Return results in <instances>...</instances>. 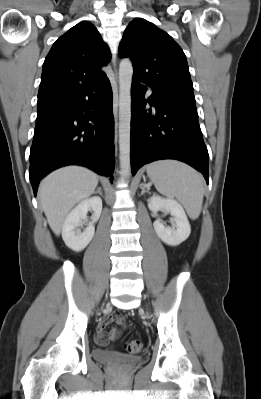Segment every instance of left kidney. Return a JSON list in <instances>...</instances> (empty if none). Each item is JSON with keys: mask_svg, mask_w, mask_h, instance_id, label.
<instances>
[{"mask_svg": "<svg viewBox=\"0 0 261 399\" xmlns=\"http://www.w3.org/2000/svg\"><path fill=\"white\" fill-rule=\"evenodd\" d=\"M148 208L152 212L163 211L173 216L172 227H166L161 220L153 223L157 236L169 246H178L184 242L191 233V227L186 213L176 200L152 196L148 199Z\"/></svg>", "mask_w": 261, "mask_h": 399, "instance_id": "left-kidney-1", "label": "left kidney"}]
</instances>
